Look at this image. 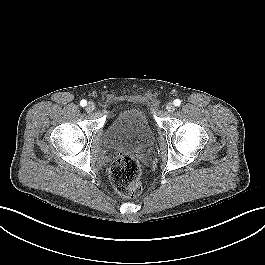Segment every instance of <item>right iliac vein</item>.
Instances as JSON below:
<instances>
[{
	"instance_id": "right-iliac-vein-1",
	"label": "right iliac vein",
	"mask_w": 265,
	"mask_h": 265,
	"mask_svg": "<svg viewBox=\"0 0 265 265\" xmlns=\"http://www.w3.org/2000/svg\"><path fill=\"white\" fill-rule=\"evenodd\" d=\"M94 109H95V105H94V103H93V102H89V103L87 104V106H86V111H87L88 113H90V112H92Z\"/></svg>"
}]
</instances>
